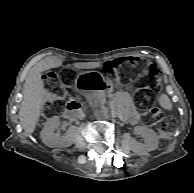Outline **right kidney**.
Listing matches in <instances>:
<instances>
[{"instance_id": "1", "label": "right kidney", "mask_w": 194, "mask_h": 193, "mask_svg": "<svg viewBox=\"0 0 194 193\" xmlns=\"http://www.w3.org/2000/svg\"><path fill=\"white\" fill-rule=\"evenodd\" d=\"M60 126V119L58 116H53L45 123L41 131L42 142L50 148H64L69 147L73 143V132L69 129L64 135L55 133V130Z\"/></svg>"}]
</instances>
